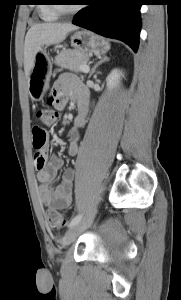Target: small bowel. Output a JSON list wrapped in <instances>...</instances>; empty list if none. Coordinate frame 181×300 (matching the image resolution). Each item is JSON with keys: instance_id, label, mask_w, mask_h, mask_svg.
Returning a JSON list of instances; mask_svg holds the SVG:
<instances>
[{"instance_id": "obj_1", "label": "small bowel", "mask_w": 181, "mask_h": 300, "mask_svg": "<svg viewBox=\"0 0 181 300\" xmlns=\"http://www.w3.org/2000/svg\"><path fill=\"white\" fill-rule=\"evenodd\" d=\"M69 97H73L77 104V111L69 130L67 145L68 155L74 157L79 153V131L86 122L88 94L75 76L62 74L54 83L50 104L58 110H63ZM42 155L45 157V164L38 168L37 173V179L40 182L38 188L40 202L45 207L67 209L72 201L74 169H65L60 183L52 187V182L63 168V160L56 155L47 158L45 151H42Z\"/></svg>"}]
</instances>
